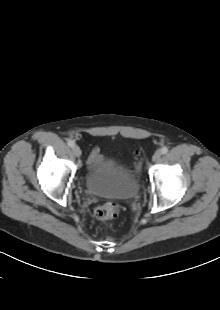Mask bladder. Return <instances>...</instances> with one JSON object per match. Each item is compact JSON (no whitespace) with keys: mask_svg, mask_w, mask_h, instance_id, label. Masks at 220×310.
<instances>
[{"mask_svg":"<svg viewBox=\"0 0 220 310\" xmlns=\"http://www.w3.org/2000/svg\"><path fill=\"white\" fill-rule=\"evenodd\" d=\"M86 190L94 195L129 200L139 190L136 177L113 158L103 159L84 176Z\"/></svg>","mask_w":220,"mask_h":310,"instance_id":"obj_1","label":"bladder"}]
</instances>
